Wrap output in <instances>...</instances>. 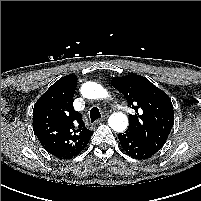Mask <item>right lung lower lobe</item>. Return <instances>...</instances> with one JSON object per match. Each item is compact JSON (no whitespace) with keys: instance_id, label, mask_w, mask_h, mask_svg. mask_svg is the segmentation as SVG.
I'll return each mask as SVG.
<instances>
[{"instance_id":"1","label":"right lung lower lobe","mask_w":201,"mask_h":201,"mask_svg":"<svg viewBox=\"0 0 201 201\" xmlns=\"http://www.w3.org/2000/svg\"><path fill=\"white\" fill-rule=\"evenodd\" d=\"M88 140H89V139H88ZM87 144H88V141L85 143V145L82 147V149H81L77 154H75V155H73V156H70V157L61 158V159H69V158H72V157L77 156L79 153H81V152L83 151V149L86 147Z\"/></svg>"}]
</instances>
